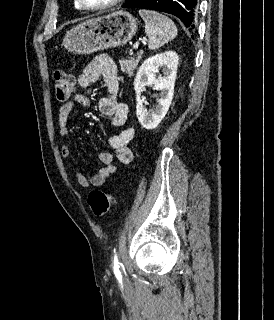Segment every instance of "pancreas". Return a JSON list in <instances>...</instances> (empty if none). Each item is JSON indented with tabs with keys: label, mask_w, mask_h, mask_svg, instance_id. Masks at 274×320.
Instances as JSON below:
<instances>
[{
	"label": "pancreas",
	"mask_w": 274,
	"mask_h": 320,
	"mask_svg": "<svg viewBox=\"0 0 274 320\" xmlns=\"http://www.w3.org/2000/svg\"><path fill=\"white\" fill-rule=\"evenodd\" d=\"M141 58L142 54L141 52H138L136 56H128L127 60H120L119 64L122 70L128 74L129 78L130 76H133V72L136 70Z\"/></svg>",
	"instance_id": "obj_1"
}]
</instances>
